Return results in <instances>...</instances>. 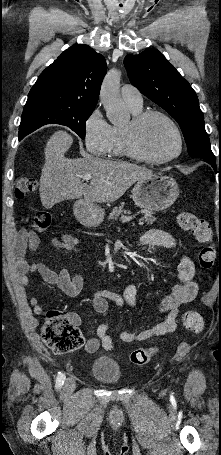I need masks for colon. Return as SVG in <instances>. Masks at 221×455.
<instances>
[{
  "label": "colon",
  "mask_w": 221,
  "mask_h": 455,
  "mask_svg": "<svg viewBox=\"0 0 221 455\" xmlns=\"http://www.w3.org/2000/svg\"><path fill=\"white\" fill-rule=\"evenodd\" d=\"M37 188V182L34 178L21 176L17 179L15 185V196L23 198L33 193ZM52 223L50 214L45 212L35 213L30 218L31 226L38 231L47 230ZM179 226L191 233L201 244L202 249L199 253V263L203 269H210L216 259L217 250L212 240V233L208 223L190 212H182L178 215ZM184 325L191 331L199 332L203 328V320L199 312L189 310L182 316ZM42 339L44 343L56 353H68L80 348L84 343V338L70 317L61 314L58 311L48 313L46 322L42 329ZM154 350L140 348L134 350L130 359L135 365L147 364Z\"/></svg>",
  "instance_id": "1"
}]
</instances>
